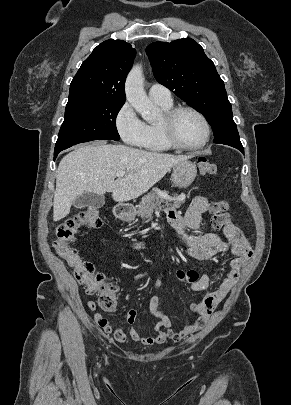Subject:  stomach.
<instances>
[{
	"label": "stomach",
	"instance_id": "0dacf381",
	"mask_svg": "<svg viewBox=\"0 0 291 405\" xmlns=\"http://www.w3.org/2000/svg\"><path fill=\"white\" fill-rule=\"evenodd\" d=\"M196 175V165L188 160H185L173 167L172 182L179 188H187L193 183ZM119 217L123 221L131 222L135 218V212H122L120 213Z\"/></svg>",
	"mask_w": 291,
	"mask_h": 405
}]
</instances>
